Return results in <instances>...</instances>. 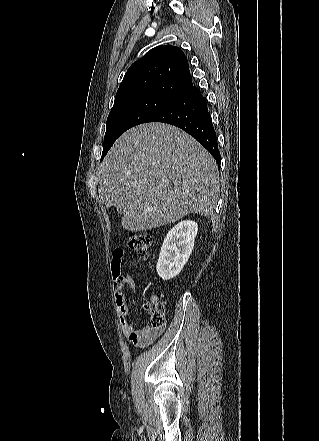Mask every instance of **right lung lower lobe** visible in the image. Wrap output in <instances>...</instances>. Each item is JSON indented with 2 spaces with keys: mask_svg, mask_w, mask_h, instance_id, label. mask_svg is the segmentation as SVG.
I'll list each match as a JSON object with an SVG mask.
<instances>
[{
  "mask_svg": "<svg viewBox=\"0 0 319 441\" xmlns=\"http://www.w3.org/2000/svg\"><path fill=\"white\" fill-rule=\"evenodd\" d=\"M148 122H163L181 128L201 143L220 161L217 137L207 109V100L191 86L180 98L172 102Z\"/></svg>",
  "mask_w": 319,
  "mask_h": 441,
  "instance_id": "98d812e1",
  "label": "right lung lower lobe"
}]
</instances>
